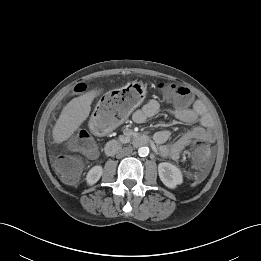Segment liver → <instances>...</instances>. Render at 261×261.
<instances>
[{
    "label": "liver",
    "instance_id": "liver-1",
    "mask_svg": "<svg viewBox=\"0 0 261 261\" xmlns=\"http://www.w3.org/2000/svg\"><path fill=\"white\" fill-rule=\"evenodd\" d=\"M101 90H92L72 99L62 110L52 130L54 142L60 144L87 119L91 111V103Z\"/></svg>",
    "mask_w": 261,
    "mask_h": 261
}]
</instances>
